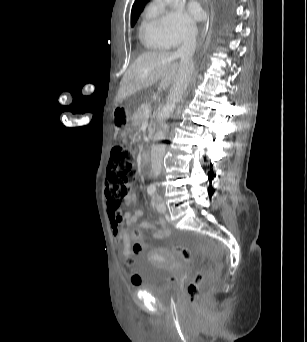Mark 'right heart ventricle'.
Listing matches in <instances>:
<instances>
[{
	"instance_id": "1",
	"label": "right heart ventricle",
	"mask_w": 307,
	"mask_h": 342,
	"mask_svg": "<svg viewBox=\"0 0 307 342\" xmlns=\"http://www.w3.org/2000/svg\"><path fill=\"white\" fill-rule=\"evenodd\" d=\"M139 41L142 45L143 51L148 54L156 53L165 49L164 44L144 33L139 35Z\"/></svg>"
}]
</instances>
